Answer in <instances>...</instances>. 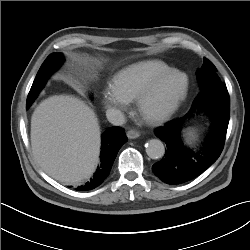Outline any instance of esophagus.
<instances>
[{"mask_svg":"<svg viewBox=\"0 0 250 250\" xmlns=\"http://www.w3.org/2000/svg\"><path fill=\"white\" fill-rule=\"evenodd\" d=\"M126 134H127V137L129 139H136V138H138L140 136V133L138 131H136V130H133V129L127 131Z\"/></svg>","mask_w":250,"mask_h":250,"instance_id":"esophagus-1","label":"esophagus"}]
</instances>
